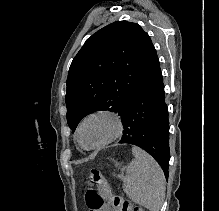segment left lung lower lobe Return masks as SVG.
<instances>
[{
  "instance_id": "0a47b994",
  "label": "left lung lower lobe",
  "mask_w": 219,
  "mask_h": 211,
  "mask_svg": "<svg viewBox=\"0 0 219 211\" xmlns=\"http://www.w3.org/2000/svg\"><path fill=\"white\" fill-rule=\"evenodd\" d=\"M164 96L163 77L158 66L129 100L122 116L124 130L119 143L132 144L148 152L168 179L169 121Z\"/></svg>"
}]
</instances>
